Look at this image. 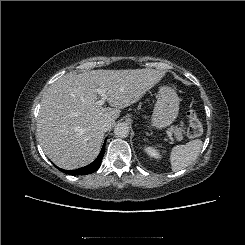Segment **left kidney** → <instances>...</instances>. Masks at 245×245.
<instances>
[{"mask_svg": "<svg viewBox=\"0 0 245 245\" xmlns=\"http://www.w3.org/2000/svg\"><path fill=\"white\" fill-rule=\"evenodd\" d=\"M144 151L149 157L159 159L161 158V155L159 154L158 150L155 147L147 146L144 148Z\"/></svg>", "mask_w": 245, "mask_h": 245, "instance_id": "1", "label": "left kidney"}]
</instances>
